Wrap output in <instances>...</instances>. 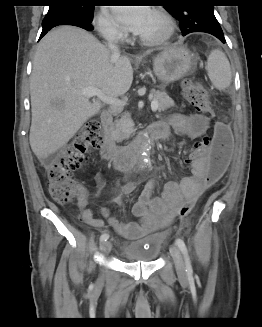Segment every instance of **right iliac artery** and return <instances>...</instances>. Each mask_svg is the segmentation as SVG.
<instances>
[{
    "label": "right iliac artery",
    "instance_id": "obj_1",
    "mask_svg": "<svg viewBox=\"0 0 262 327\" xmlns=\"http://www.w3.org/2000/svg\"><path fill=\"white\" fill-rule=\"evenodd\" d=\"M108 239H109V234H108V233H103V234L100 236V241H101V242L107 241Z\"/></svg>",
    "mask_w": 262,
    "mask_h": 327
}]
</instances>
